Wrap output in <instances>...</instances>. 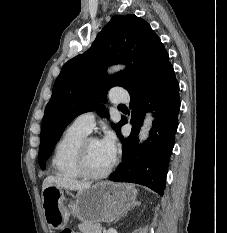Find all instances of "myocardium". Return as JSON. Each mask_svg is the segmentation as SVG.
I'll return each mask as SVG.
<instances>
[{"label":"myocardium","instance_id":"myocardium-1","mask_svg":"<svg viewBox=\"0 0 227 233\" xmlns=\"http://www.w3.org/2000/svg\"><path fill=\"white\" fill-rule=\"evenodd\" d=\"M91 140H96L94 138H85L79 145L77 150V156H76V165L79 170V172L82 174V176L91 178V179H100L108 176L112 170L114 169L117 158H113L111 164L103 171L96 172L93 171L88 164V158H87V151H88V144Z\"/></svg>","mask_w":227,"mask_h":233}]
</instances>
